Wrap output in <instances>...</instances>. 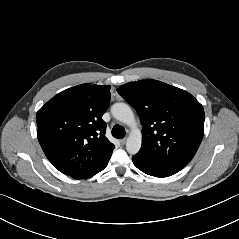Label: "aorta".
Here are the masks:
<instances>
[{
	"instance_id": "1",
	"label": "aorta",
	"mask_w": 239,
	"mask_h": 239,
	"mask_svg": "<svg viewBox=\"0 0 239 239\" xmlns=\"http://www.w3.org/2000/svg\"><path fill=\"white\" fill-rule=\"evenodd\" d=\"M111 113L114 118L131 128V132L126 143L127 152L132 155L138 153L141 148L142 135L137 126L132 109L126 103L119 102L113 104Z\"/></svg>"
}]
</instances>
